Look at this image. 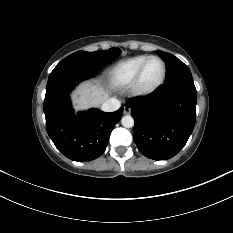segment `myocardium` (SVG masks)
Returning a JSON list of instances; mask_svg holds the SVG:
<instances>
[{"label": "myocardium", "instance_id": "obj_1", "mask_svg": "<svg viewBox=\"0 0 233 233\" xmlns=\"http://www.w3.org/2000/svg\"><path fill=\"white\" fill-rule=\"evenodd\" d=\"M152 59H158L161 62L162 67H163L162 75H161L160 80L156 84L149 86V87H144L142 85V76H143V73H144V70H145L147 63ZM166 75H167V65H166L165 61L160 56H157V55L148 56L143 61L141 66L139 67V69L135 75V78L130 86V91H131L132 95H134L136 97H145V96H148V95L154 93L156 90H158L163 85V83L166 79Z\"/></svg>", "mask_w": 233, "mask_h": 233}]
</instances>
